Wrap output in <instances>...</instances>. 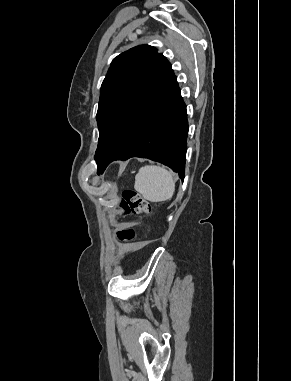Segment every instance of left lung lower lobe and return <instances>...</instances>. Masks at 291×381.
<instances>
[{
    "mask_svg": "<svg viewBox=\"0 0 291 381\" xmlns=\"http://www.w3.org/2000/svg\"><path fill=\"white\" fill-rule=\"evenodd\" d=\"M187 135L186 106L174 77L151 98L121 141L98 164V174L114 160L141 157L169 166L183 180Z\"/></svg>",
    "mask_w": 291,
    "mask_h": 381,
    "instance_id": "left-lung-lower-lobe-1",
    "label": "left lung lower lobe"
}]
</instances>
